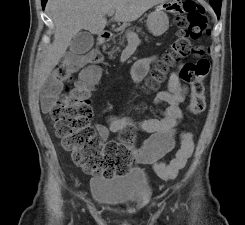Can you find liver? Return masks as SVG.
<instances>
[{
    "label": "liver",
    "mask_w": 245,
    "mask_h": 225,
    "mask_svg": "<svg viewBox=\"0 0 245 225\" xmlns=\"http://www.w3.org/2000/svg\"><path fill=\"white\" fill-rule=\"evenodd\" d=\"M167 0H49L46 11L54 24V38L48 47L38 71L42 85L53 68L66 53L72 38L82 29L102 34L107 20L105 15L114 11V20L132 22L155 5Z\"/></svg>",
    "instance_id": "6515ba94"
}]
</instances>
